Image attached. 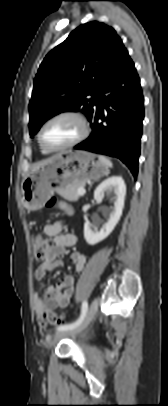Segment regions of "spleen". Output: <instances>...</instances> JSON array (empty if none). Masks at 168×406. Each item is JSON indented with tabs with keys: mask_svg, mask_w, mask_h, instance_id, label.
<instances>
[{
	"mask_svg": "<svg viewBox=\"0 0 168 406\" xmlns=\"http://www.w3.org/2000/svg\"><path fill=\"white\" fill-rule=\"evenodd\" d=\"M100 159H101L106 165H108L109 167H112V162H111L108 158H106L105 156H100Z\"/></svg>",
	"mask_w": 168,
	"mask_h": 406,
	"instance_id": "1",
	"label": "spleen"
}]
</instances>
